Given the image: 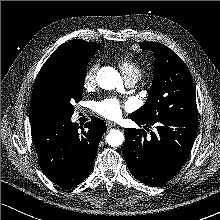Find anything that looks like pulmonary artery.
<instances>
[{
  "instance_id": "obj_1",
  "label": "pulmonary artery",
  "mask_w": 220,
  "mask_h": 220,
  "mask_svg": "<svg viewBox=\"0 0 220 220\" xmlns=\"http://www.w3.org/2000/svg\"><path fill=\"white\" fill-rule=\"evenodd\" d=\"M138 80V77L132 76V77H126L125 81H126V85L131 87L133 86Z\"/></svg>"
}]
</instances>
